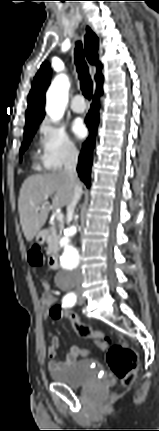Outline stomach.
Instances as JSON below:
<instances>
[{
  "instance_id": "stomach-1",
  "label": "stomach",
  "mask_w": 159,
  "mask_h": 431,
  "mask_svg": "<svg viewBox=\"0 0 159 431\" xmlns=\"http://www.w3.org/2000/svg\"><path fill=\"white\" fill-rule=\"evenodd\" d=\"M36 241H37L38 243L42 244V243L44 242V238H43V236H41L40 234H38V235L36 236Z\"/></svg>"
}]
</instances>
